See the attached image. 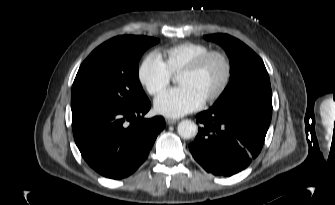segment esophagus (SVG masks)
I'll list each match as a JSON object with an SVG mask.
<instances>
[{
  "label": "esophagus",
  "instance_id": "obj_1",
  "mask_svg": "<svg viewBox=\"0 0 335 205\" xmlns=\"http://www.w3.org/2000/svg\"><path fill=\"white\" fill-rule=\"evenodd\" d=\"M176 122H177L176 119H171V118H167V119H166V123H167L168 125L175 124Z\"/></svg>",
  "mask_w": 335,
  "mask_h": 205
}]
</instances>
